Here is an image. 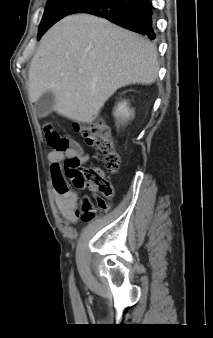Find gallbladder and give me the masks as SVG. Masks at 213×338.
<instances>
[{"label": "gallbladder", "instance_id": "bac80fb5", "mask_svg": "<svg viewBox=\"0 0 213 338\" xmlns=\"http://www.w3.org/2000/svg\"><path fill=\"white\" fill-rule=\"evenodd\" d=\"M55 95L51 91H46L36 102L35 110L39 117L49 114L55 105Z\"/></svg>", "mask_w": 213, "mask_h": 338}]
</instances>
